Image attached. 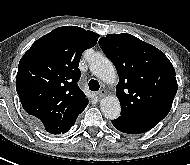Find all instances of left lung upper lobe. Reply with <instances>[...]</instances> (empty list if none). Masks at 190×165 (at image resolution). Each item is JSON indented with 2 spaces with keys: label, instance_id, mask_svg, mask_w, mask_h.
I'll use <instances>...</instances> for the list:
<instances>
[{
  "label": "left lung upper lobe",
  "instance_id": "5c2ea615",
  "mask_svg": "<svg viewBox=\"0 0 190 165\" xmlns=\"http://www.w3.org/2000/svg\"><path fill=\"white\" fill-rule=\"evenodd\" d=\"M99 45L119 75L121 116L157 123L165 118L177 92L175 70L165 54L127 33L108 34Z\"/></svg>",
  "mask_w": 190,
  "mask_h": 165
}]
</instances>
